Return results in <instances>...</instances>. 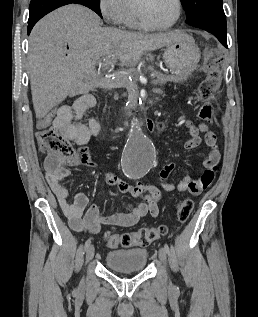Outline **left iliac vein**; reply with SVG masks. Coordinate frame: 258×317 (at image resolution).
Segmentation results:
<instances>
[{
    "mask_svg": "<svg viewBox=\"0 0 258 317\" xmlns=\"http://www.w3.org/2000/svg\"><path fill=\"white\" fill-rule=\"evenodd\" d=\"M159 256H160V262H162L163 267L167 268L168 267V261H167V256H166V249L164 247H159Z\"/></svg>",
    "mask_w": 258,
    "mask_h": 317,
    "instance_id": "left-iliac-vein-1",
    "label": "left iliac vein"
}]
</instances>
